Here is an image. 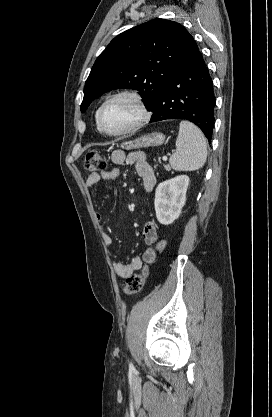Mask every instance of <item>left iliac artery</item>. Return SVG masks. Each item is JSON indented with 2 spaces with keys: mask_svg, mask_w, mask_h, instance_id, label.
<instances>
[{
  "mask_svg": "<svg viewBox=\"0 0 272 417\" xmlns=\"http://www.w3.org/2000/svg\"><path fill=\"white\" fill-rule=\"evenodd\" d=\"M129 368H130V370H134V366H133L132 363L129 364Z\"/></svg>",
  "mask_w": 272,
  "mask_h": 417,
  "instance_id": "44dca946",
  "label": "left iliac artery"
}]
</instances>
